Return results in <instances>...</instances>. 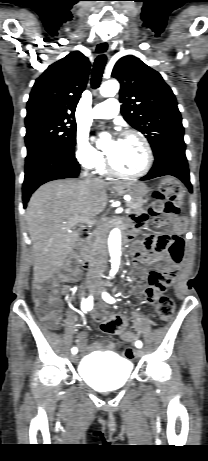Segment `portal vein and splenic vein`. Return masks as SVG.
<instances>
[{"label":"portal vein and splenic vein","mask_w":208,"mask_h":461,"mask_svg":"<svg viewBox=\"0 0 208 461\" xmlns=\"http://www.w3.org/2000/svg\"><path fill=\"white\" fill-rule=\"evenodd\" d=\"M126 200H128V199H126ZM129 211H130L129 209H126L125 212L129 213ZM83 222L86 223V224H92L93 223V221L91 219H89V218L85 219Z\"/></svg>","instance_id":"18ae733b"}]
</instances>
